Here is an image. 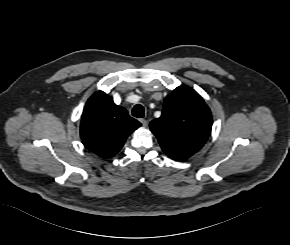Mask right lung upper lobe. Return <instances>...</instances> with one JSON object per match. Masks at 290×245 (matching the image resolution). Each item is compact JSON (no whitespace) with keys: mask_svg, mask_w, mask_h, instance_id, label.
I'll use <instances>...</instances> for the list:
<instances>
[{"mask_svg":"<svg viewBox=\"0 0 290 245\" xmlns=\"http://www.w3.org/2000/svg\"><path fill=\"white\" fill-rule=\"evenodd\" d=\"M141 124L130 117L123 107L102 91L95 92L87 101L80 125L84 146L103 158L120 151L127 137Z\"/></svg>","mask_w":290,"mask_h":245,"instance_id":"obj_1","label":"right lung upper lobe"}]
</instances>
